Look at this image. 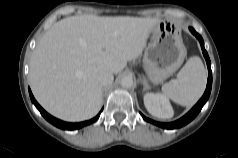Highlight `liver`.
Listing matches in <instances>:
<instances>
[{
	"instance_id": "liver-1",
	"label": "liver",
	"mask_w": 238,
	"mask_h": 158,
	"mask_svg": "<svg viewBox=\"0 0 238 158\" xmlns=\"http://www.w3.org/2000/svg\"><path fill=\"white\" fill-rule=\"evenodd\" d=\"M156 18L80 15L53 24L30 61L33 94L51 115L70 122L97 115L101 70L120 73L143 51Z\"/></svg>"
}]
</instances>
